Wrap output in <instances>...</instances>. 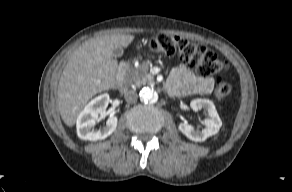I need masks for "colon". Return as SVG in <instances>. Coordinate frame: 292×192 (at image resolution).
<instances>
[{"mask_svg": "<svg viewBox=\"0 0 292 192\" xmlns=\"http://www.w3.org/2000/svg\"><path fill=\"white\" fill-rule=\"evenodd\" d=\"M150 47L166 57L176 56L182 63L194 69L201 77H208L228 68L226 61L201 43L183 37L158 34L150 40ZM230 83L218 77L214 84V96L222 102L231 93Z\"/></svg>", "mask_w": 292, "mask_h": 192, "instance_id": "colon-1", "label": "colon"}]
</instances>
